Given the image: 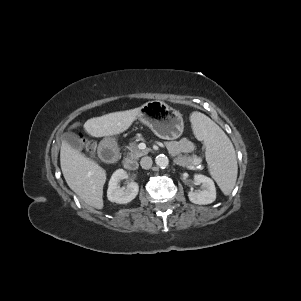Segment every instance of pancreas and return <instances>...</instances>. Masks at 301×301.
<instances>
[{
  "instance_id": "1",
  "label": "pancreas",
  "mask_w": 301,
  "mask_h": 301,
  "mask_svg": "<svg viewBox=\"0 0 301 301\" xmlns=\"http://www.w3.org/2000/svg\"><path fill=\"white\" fill-rule=\"evenodd\" d=\"M129 153H128V158L130 159H138L141 156H144L146 154H148L149 150H140L138 148V145L136 142H131L129 144ZM176 164L182 166V167H186L188 169H192L194 166L200 164L201 159L196 156V155H192V156H179L178 158L175 159Z\"/></svg>"
}]
</instances>
